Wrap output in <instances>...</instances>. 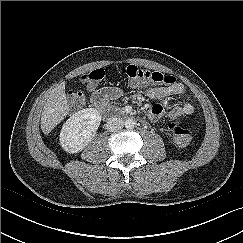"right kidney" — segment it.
I'll return each instance as SVG.
<instances>
[{
    "mask_svg": "<svg viewBox=\"0 0 243 243\" xmlns=\"http://www.w3.org/2000/svg\"><path fill=\"white\" fill-rule=\"evenodd\" d=\"M100 122L101 115L94 108L76 112L61 129V147L69 154L79 153L92 141Z\"/></svg>",
    "mask_w": 243,
    "mask_h": 243,
    "instance_id": "ca27d5eb",
    "label": "right kidney"
}]
</instances>
